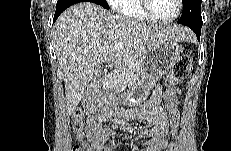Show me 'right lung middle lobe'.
<instances>
[{"label":"right lung middle lobe","mask_w":231,"mask_h":151,"mask_svg":"<svg viewBox=\"0 0 231 151\" xmlns=\"http://www.w3.org/2000/svg\"><path fill=\"white\" fill-rule=\"evenodd\" d=\"M94 3L106 8V9H109V6L106 2V0H92Z\"/></svg>","instance_id":"right-lung-middle-lobe-1"}]
</instances>
